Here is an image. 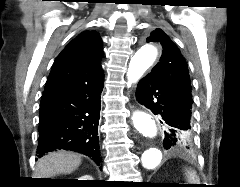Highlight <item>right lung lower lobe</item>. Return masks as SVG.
<instances>
[{
    "instance_id": "obj_1",
    "label": "right lung lower lobe",
    "mask_w": 240,
    "mask_h": 187,
    "mask_svg": "<svg viewBox=\"0 0 240 187\" xmlns=\"http://www.w3.org/2000/svg\"><path fill=\"white\" fill-rule=\"evenodd\" d=\"M103 73L64 85L41 97L37 156L72 150L100 164L98 124Z\"/></svg>"
}]
</instances>
